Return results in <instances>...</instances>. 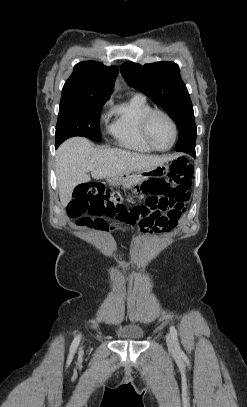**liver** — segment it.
<instances>
[{"instance_id":"obj_1","label":"liver","mask_w":247,"mask_h":407,"mask_svg":"<svg viewBox=\"0 0 247 407\" xmlns=\"http://www.w3.org/2000/svg\"><path fill=\"white\" fill-rule=\"evenodd\" d=\"M174 156H153L122 149H100L86 138L74 137L65 141L57 150L56 177L60 200L66 206L75 186L92 178L142 172L173 160Z\"/></svg>"}]
</instances>
